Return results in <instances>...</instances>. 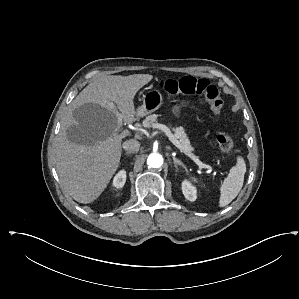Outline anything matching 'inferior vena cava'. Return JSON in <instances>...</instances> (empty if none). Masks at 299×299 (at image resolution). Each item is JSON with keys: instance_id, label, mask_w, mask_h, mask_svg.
Masks as SVG:
<instances>
[{"instance_id": "602c4592", "label": "inferior vena cava", "mask_w": 299, "mask_h": 299, "mask_svg": "<svg viewBox=\"0 0 299 299\" xmlns=\"http://www.w3.org/2000/svg\"><path fill=\"white\" fill-rule=\"evenodd\" d=\"M122 147L129 153H136L139 151L140 143L137 140L129 139L123 143Z\"/></svg>"}]
</instances>
